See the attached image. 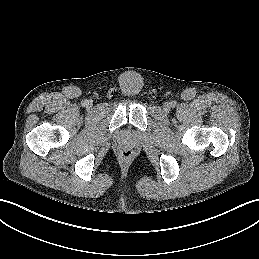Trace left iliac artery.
I'll list each match as a JSON object with an SVG mask.
<instances>
[{
  "label": "left iliac artery",
  "instance_id": "left-iliac-artery-1",
  "mask_svg": "<svg viewBox=\"0 0 259 259\" xmlns=\"http://www.w3.org/2000/svg\"><path fill=\"white\" fill-rule=\"evenodd\" d=\"M175 105H176V102H175V101H171V102H170V106H171V107H175Z\"/></svg>",
  "mask_w": 259,
  "mask_h": 259
}]
</instances>
